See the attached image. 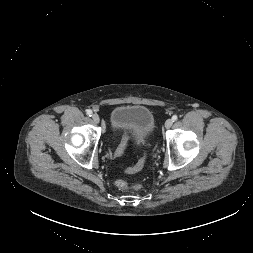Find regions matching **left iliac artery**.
<instances>
[{
    "label": "left iliac artery",
    "instance_id": "obj_1",
    "mask_svg": "<svg viewBox=\"0 0 253 253\" xmlns=\"http://www.w3.org/2000/svg\"><path fill=\"white\" fill-rule=\"evenodd\" d=\"M177 119H178V116H177V115H174V116L172 117L173 122H175Z\"/></svg>",
    "mask_w": 253,
    "mask_h": 253
}]
</instances>
